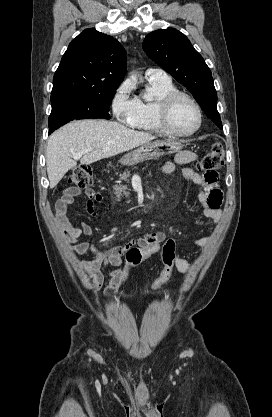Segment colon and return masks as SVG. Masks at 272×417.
<instances>
[{
    "label": "colon",
    "mask_w": 272,
    "mask_h": 417,
    "mask_svg": "<svg viewBox=\"0 0 272 417\" xmlns=\"http://www.w3.org/2000/svg\"><path fill=\"white\" fill-rule=\"evenodd\" d=\"M224 161V148L220 143H215L197 166L199 170L211 174L216 172L224 164ZM68 183L78 188H87L92 183V168L84 164L75 167L68 176ZM175 250L176 243L172 238L152 239L133 246L125 254L126 267L117 288L119 289L129 279L134 268L159 254L163 267L151 288L153 291L161 290L169 281L175 268Z\"/></svg>",
    "instance_id": "obj_1"
}]
</instances>
